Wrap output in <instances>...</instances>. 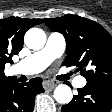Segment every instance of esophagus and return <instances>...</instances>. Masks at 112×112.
I'll return each mask as SVG.
<instances>
[{
  "mask_svg": "<svg viewBox=\"0 0 112 112\" xmlns=\"http://www.w3.org/2000/svg\"><path fill=\"white\" fill-rule=\"evenodd\" d=\"M57 83V81L46 79L43 81V87L45 90H52Z\"/></svg>",
  "mask_w": 112,
  "mask_h": 112,
  "instance_id": "34e87169",
  "label": "esophagus"
}]
</instances>
